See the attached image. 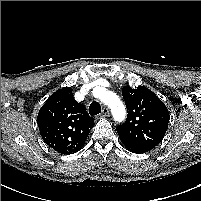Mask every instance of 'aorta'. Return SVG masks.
<instances>
[{
    "mask_svg": "<svg viewBox=\"0 0 201 201\" xmlns=\"http://www.w3.org/2000/svg\"><path fill=\"white\" fill-rule=\"evenodd\" d=\"M98 97L103 103L110 107L112 115L116 121L121 122L125 119V106L115 93L103 89Z\"/></svg>",
    "mask_w": 201,
    "mask_h": 201,
    "instance_id": "1",
    "label": "aorta"
}]
</instances>
